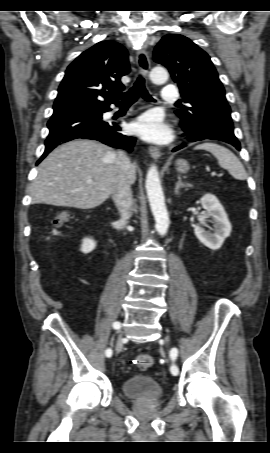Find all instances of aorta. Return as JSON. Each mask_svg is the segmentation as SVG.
<instances>
[{
    "label": "aorta",
    "mask_w": 270,
    "mask_h": 453,
    "mask_svg": "<svg viewBox=\"0 0 270 453\" xmlns=\"http://www.w3.org/2000/svg\"><path fill=\"white\" fill-rule=\"evenodd\" d=\"M168 72L163 67H155L150 72V78L154 83H163L168 79ZM146 191L150 208L155 219V227L160 235H165L169 227V217L165 205L158 170L151 165L146 176Z\"/></svg>",
    "instance_id": "aorta-1"
}]
</instances>
